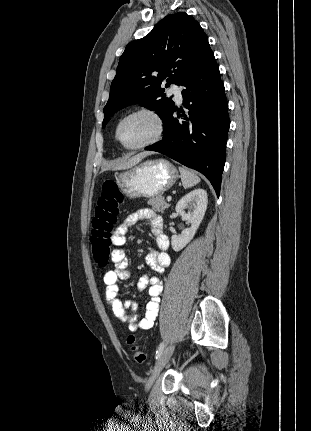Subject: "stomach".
Masks as SVG:
<instances>
[{
  "label": "stomach",
  "mask_w": 311,
  "mask_h": 431,
  "mask_svg": "<svg viewBox=\"0 0 311 431\" xmlns=\"http://www.w3.org/2000/svg\"><path fill=\"white\" fill-rule=\"evenodd\" d=\"M180 178L178 170L167 160H146L139 166L116 174V184L128 198H156L172 188Z\"/></svg>",
  "instance_id": "1"
}]
</instances>
